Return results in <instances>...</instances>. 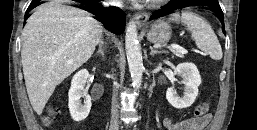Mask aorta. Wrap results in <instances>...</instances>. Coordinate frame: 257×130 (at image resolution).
Returning a JSON list of instances; mask_svg holds the SVG:
<instances>
[{
	"label": "aorta",
	"mask_w": 257,
	"mask_h": 130,
	"mask_svg": "<svg viewBox=\"0 0 257 130\" xmlns=\"http://www.w3.org/2000/svg\"><path fill=\"white\" fill-rule=\"evenodd\" d=\"M125 49L132 85L134 88H139L142 82L143 60L139 47L137 28L133 20L126 26Z\"/></svg>",
	"instance_id": "aorta-1"
}]
</instances>
